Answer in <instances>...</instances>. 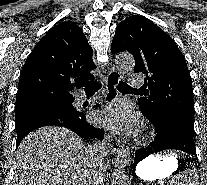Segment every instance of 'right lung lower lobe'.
Returning a JSON list of instances; mask_svg holds the SVG:
<instances>
[{
    "label": "right lung lower lobe",
    "mask_w": 207,
    "mask_h": 185,
    "mask_svg": "<svg viewBox=\"0 0 207 185\" xmlns=\"http://www.w3.org/2000/svg\"><path fill=\"white\" fill-rule=\"evenodd\" d=\"M81 117L78 121L73 122H64V121H57L52 118H43L37 119L34 121L25 122L21 125L16 126V133H17V147L23 138L29 134L31 131L43 127V126H61L65 128H69L78 134L81 138H96L98 140L103 139L104 130L95 128L93 125L87 122L85 114L80 112Z\"/></svg>",
    "instance_id": "obj_1"
}]
</instances>
